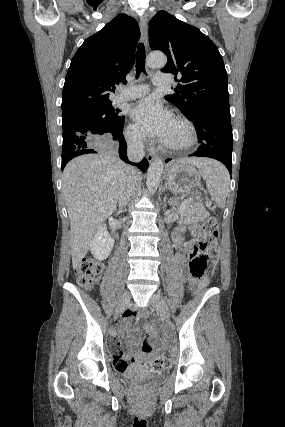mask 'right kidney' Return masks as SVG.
Returning <instances> with one entry per match:
<instances>
[{
	"instance_id": "right-kidney-1",
	"label": "right kidney",
	"mask_w": 285,
	"mask_h": 427,
	"mask_svg": "<svg viewBox=\"0 0 285 427\" xmlns=\"http://www.w3.org/2000/svg\"><path fill=\"white\" fill-rule=\"evenodd\" d=\"M113 246L114 240L109 235L106 225H100L90 244L92 255L97 260H105L111 253Z\"/></svg>"
}]
</instances>
